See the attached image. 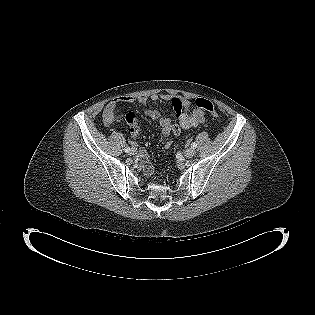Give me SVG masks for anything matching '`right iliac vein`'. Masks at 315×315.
<instances>
[{
  "instance_id": "1",
  "label": "right iliac vein",
  "mask_w": 315,
  "mask_h": 315,
  "mask_svg": "<svg viewBox=\"0 0 315 315\" xmlns=\"http://www.w3.org/2000/svg\"><path fill=\"white\" fill-rule=\"evenodd\" d=\"M136 152H137V150H136L135 148H132V149L130 150V155H135Z\"/></svg>"
}]
</instances>
